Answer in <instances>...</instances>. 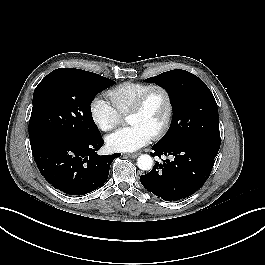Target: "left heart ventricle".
<instances>
[{
    "label": "left heart ventricle",
    "instance_id": "obj_1",
    "mask_svg": "<svg viewBox=\"0 0 265 265\" xmlns=\"http://www.w3.org/2000/svg\"><path fill=\"white\" fill-rule=\"evenodd\" d=\"M166 99L160 92H154L146 107L140 113L129 114V125H140L151 134L159 127L166 113Z\"/></svg>",
    "mask_w": 265,
    "mask_h": 265
}]
</instances>
